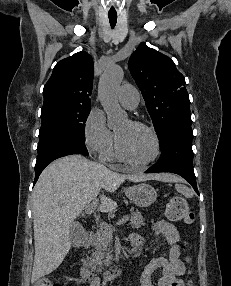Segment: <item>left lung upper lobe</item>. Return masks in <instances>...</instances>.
<instances>
[{"mask_svg":"<svg viewBox=\"0 0 231 286\" xmlns=\"http://www.w3.org/2000/svg\"><path fill=\"white\" fill-rule=\"evenodd\" d=\"M128 66L142 91L158 137L171 126L191 125L185 79L169 57L141 43Z\"/></svg>","mask_w":231,"mask_h":286,"instance_id":"obj_1","label":"left lung upper lobe"}]
</instances>
